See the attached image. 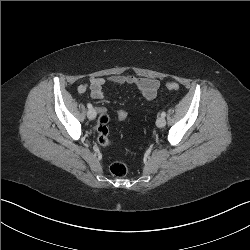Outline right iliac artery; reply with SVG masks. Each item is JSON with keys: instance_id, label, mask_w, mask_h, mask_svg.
<instances>
[{"instance_id": "82829eb1", "label": "right iliac artery", "mask_w": 250, "mask_h": 250, "mask_svg": "<svg viewBox=\"0 0 250 250\" xmlns=\"http://www.w3.org/2000/svg\"><path fill=\"white\" fill-rule=\"evenodd\" d=\"M88 109H92V105L90 103L87 104Z\"/></svg>"}]
</instances>
